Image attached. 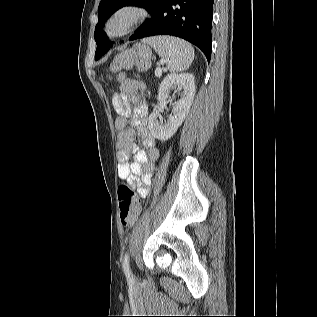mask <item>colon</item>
Returning a JSON list of instances; mask_svg holds the SVG:
<instances>
[{
  "instance_id": "colon-1",
  "label": "colon",
  "mask_w": 317,
  "mask_h": 317,
  "mask_svg": "<svg viewBox=\"0 0 317 317\" xmlns=\"http://www.w3.org/2000/svg\"><path fill=\"white\" fill-rule=\"evenodd\" d=\"M147 61L140 60L138 67L144 69L147 66ZM130 66L129 56L126 54L117 56L110 67L113 77L117 81H124L121 71ZM118 202L120 211V221L124 226L133 225L141 212V204L135 195L133 189L127 185H121L118 188Z\"/></svg>"
}]
</instances>
